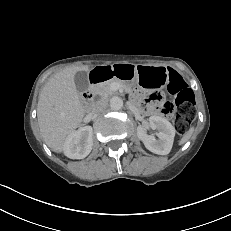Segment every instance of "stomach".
Here are the masks:
<instances>
[{"mask_svg": "<svg viewBox=\"0 0 231 231\" xmlns=\"http://www.w3.org/2000/svg\"><path fill=\"white\" fill-rule=\"evenodd\" d=\"M113 69L126 82H138L152 91L163 89L168 81V71L164 66L118 63Z\"/></svg>", "mask_w": 231, "mask_h": 231, "instance_id": "1", "label": "stomach"}]
</instances>
